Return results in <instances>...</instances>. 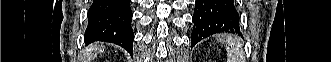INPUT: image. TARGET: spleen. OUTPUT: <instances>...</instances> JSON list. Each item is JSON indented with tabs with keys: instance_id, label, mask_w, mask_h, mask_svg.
I'll use <instances>...</instances> for the list:
<instances>
[{
	"instance_id": "3e777b00",
	"label": "spleen",
	"mask_w": 331,
	"mask_h": 62,
	"mask_svg": "<svg viewBox=\"0 0 331 62\" xmlns=\"http://www.w3.org/2000/svg\"><path fill=\"white\" fill-rule=\"evenodd\" d=\"M226 50L228 62H244L242 44L237 36H228L226 39Z\"/></svg>"
}]
</instances>
